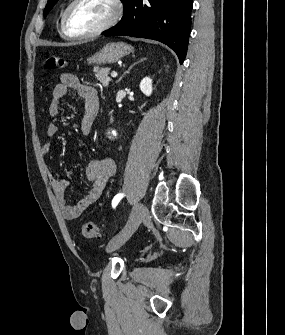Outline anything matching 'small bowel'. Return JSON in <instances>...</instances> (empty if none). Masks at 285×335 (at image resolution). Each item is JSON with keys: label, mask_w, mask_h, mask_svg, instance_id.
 Listing matches in <instances>:
<instances>
[{"label": "small bowel", "mask_w": 285, "mask_h": 335, "mask_svg": "<svg viewBox=\"0 0 285 335\" xmlns=\"http://www.w3.org/2000/svg\"><path fill=\"white\" fill-rule=\"evenodd\" d=\"M68 90H73L84 101L86 113L81 122V129L85 135L92 132L95 116V109L99 108V98L95 88L85 85L72 74H62L60 82L53 88L52 98L49 104V115L53 118L59 116L60 101L65 97ZM59 126L52 122L47 126V136L53 138L58 134ZM53 152V143L51 140L46 141L42 146V153L45 157H49ZM114 171V164L108 158H100L90 161L85 168L86 178L92 183L87 194L75 205L66 203L67 181L64 178L56 177L49 172V181L55 198L60 206L62 215L66 220H75L81 214L94 204L101 196L109 176Z\"/></svg>", "instance_id": "c3829d8e"}]
</instances>
